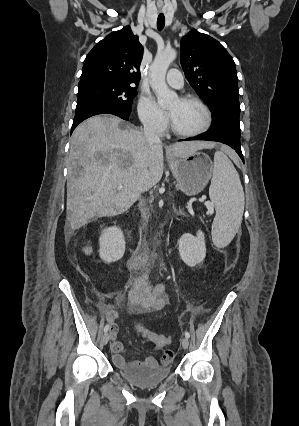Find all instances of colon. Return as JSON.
Listing matches in <instances>:
<instances>
[{
  "label": "colon",
  "mask_w": 299,
  "mask_h": 426,
  "mask_svg": "<svg viewBox=\"0 0 299 426\" xmlns=\"http://www.w3.org/2000/svg\"><path fill=\"white\" fill-rule=\"evenodd\" d=\"M136 329L144 338L152 342L157 348H163L170 343V338L168 336L154 333L142 325H137Z\"/></svg>",
  "instance_id": "colon-1"
}]
</instances>
